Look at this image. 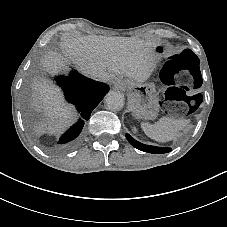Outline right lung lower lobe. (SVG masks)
I'll list each match as a JSON object with an SVG mask.
<instances>
[{"label":"right lung lower lobe","mask_w":227,"mask_h":227,"mask_svg":"<svg viewBox=\"0 0 227 227\" xmlns=\"http://www.w3.org/2000/svg\"><path fill=\"white\" fill-rule=\"evenodd\" d=\"M58 85L62 86L66 99L75 105L81 118L59 140L55 150L62 151L73 147L76 138L80 134L84 121L90 118V114L103 97L108 93L109 87L101 82L86 78L77 72H72L69 77H58Z\"/></svg>","instance_id":"1"}]
</instances>
